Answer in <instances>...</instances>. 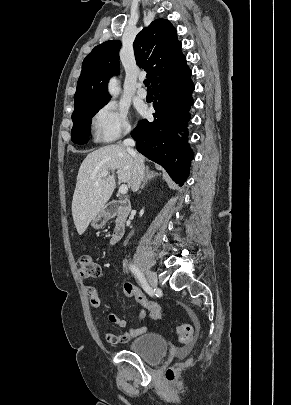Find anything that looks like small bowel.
Returning <instances> with one entry per match:
<instances>
[{
    "label": "small bowel",
    "instance_id": "c3829d8e",
    "mask_svg": "<svg viewBox=\"0 0 291 405\" xmlns=\"http://www.w3.org/2000/svg\"><path fill=\"white\" fill-rule=\"evenodd\" d=\"M89 298H90L91 304L94 307H98L100 305V298L97 293L91 294L89 292ZM185 310H186V313L189 316L190 320L194 324V326L198 327V320H197V317L194 314V312L189 308H185ZM138 317L140 319H144L146 317V310L144 307H143V309H141L139 311ZM107 319L113 325H117L122 328L126 326V321L123 319H120L112 312L108 314ZM146 331H147V327H141V328H132L129 331L124 332L120 335H115V334L106 332L105 339L108 343H110L112 345H117V344L127 343V342L131 341L132 339L138 337L139 335L145 333Z\"/></svg>",
    "mask_w": 291,
    "mask_h": 405
}]
</instances>
